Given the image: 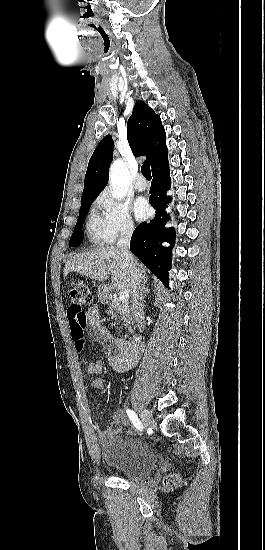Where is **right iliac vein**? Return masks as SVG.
<instances>
[{"label": "right iliac vein", "mask_w": 265, "mask_h": 550, "mask_svg": "<svg viewBox=\"0 0 265 550\" xmlns=\"http://www.w3.org/2000/svg\"><path fill=\"white\" fill-rule=\"evenodd\" d=\"M141 417L142 423L145 427L151 426L153 424L152 413L148 409H142Z\"/></svg>", "instance_id": "right-iliac-vein-1"}]
</instances>
